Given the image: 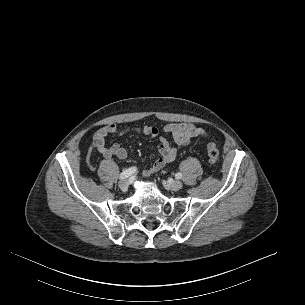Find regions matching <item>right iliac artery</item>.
Listing matches in <instances>:
<instances>
[{
	"label": "right iliac artery",
	"mask_w": 305,
	"mask_h": 305,
	"mask_svg": "<svg viewBox=\"0 0 305 305\" xmlns=\"http://www.w3.org/2000/svg\"><path fill=\"white\" fill-rule=\"evenodd\" d=\"M137 171V168L136 167H131V168H128L126 170H124L120 175H119V179H126L128 178L129 176H131L132 174H134L135 172Z\"/></svg>",
	"instance_id": "right-iliac-artery-1"
}]
</instances>
